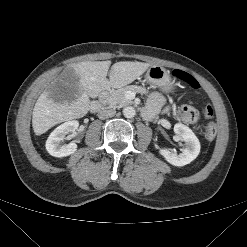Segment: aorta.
<instances>
[{"label":"aorta","instance_id":"aorta-1","mask_svg":"<svg viewBox=\"0 0 247 247\" xmlns=\"http://www.w3.org/2000/svg\"><path fill=\"white\" fill-rule=\"evenodd\" d=\"M136 114V110L134 107L132 106H128V107H125L123 109V115L126 117V118H133Z\"/></svg>","mask_w":247,"mask_h":247}]
</instances>
